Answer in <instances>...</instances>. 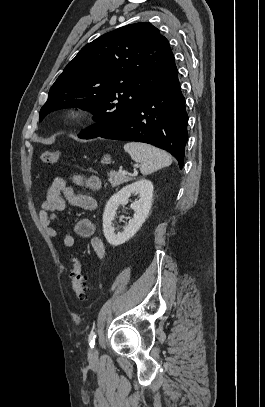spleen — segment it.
I'll use <instances>...</instances> for the list:
<instances>
[{
    "instance_id": "spleen-1",
    "label": "spleen",
    "mask_w": 265,
    "mask_h": 407,
    "mask_svg": "<svg viewBox=\"0 0 265 407\" xmlns=\"http://www.w3.org/2000/svg\"><path fill=\"white\" fill-rule=\"evenodd\" d=\"M124 150L135 162L140 163L143 175L151 174L172 163V158L166 151L146 143L129 142L124 145Z\"/></svg>"
}]
</instances>
